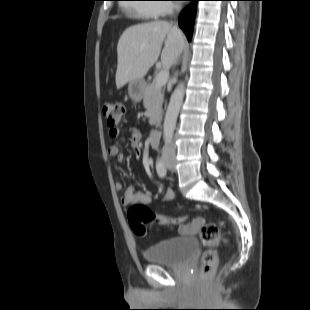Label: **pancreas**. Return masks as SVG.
<instances>
[{
	"mask_svg": "<svg viewBox=\"0 0 310 310\" xmlns=\"http://www.w3.org/2000/svg\"><path fill=\"white\" fill-rule=\"evenodd\" d=\"M164 94L161 88L148 84L143 92V105L147 110L150 125L158 126L162 119Z\"/></svg>",
	"mask_w": 310,
	"mask_h": 310,
	"instance_id": "1",
	"label": "pancreas"
}]
</instances>
